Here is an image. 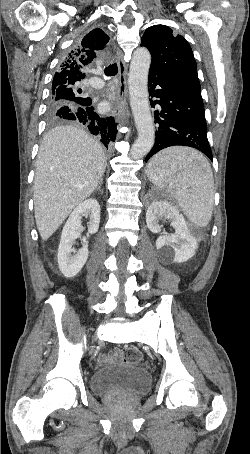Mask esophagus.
<instances>
[{
  "label": "esophagus",
  "mask_w": 250,
  "mask_h": 454,
  "mask_svg": "<svg viewBox=\"0 0 250 454\" xmlns=\"http://www.w3.org/2000/svg\"><path fill=\"white\" fill-rule=\"evenodd\" d=\"M118 76L116 84V98L114 100L113 114L119 119L127 112V65L123 60L121 50L117 52Z\"/></svg>",
  "instance_id": "34e87169"
}]
</instances>
